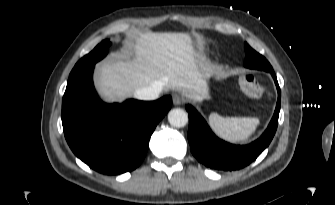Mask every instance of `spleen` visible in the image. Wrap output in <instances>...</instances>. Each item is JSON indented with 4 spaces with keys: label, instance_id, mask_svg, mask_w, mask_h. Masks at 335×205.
<instances>
[{
    "label": "spleen",
    "instance_id": "3e777b00",
    "mask_svg": "<svg viewBox=\"0 0 335 205\" xmlns=\"http://www.w3.org/2000/svg\"><path fill=\"white\" fill-rule=\"evenodd\" d=\"M209 122L215 132L231 142H244L259 125L258 118L222 117L216 113L209 115Z\"/></svg>",
    "mask_w": 335,
    "mask_h": 205
}]
</instances>
